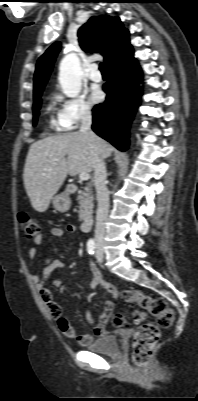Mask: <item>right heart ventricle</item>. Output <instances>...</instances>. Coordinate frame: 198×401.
I'll return each mask as SVG.
<instances>
[{"label":"right heart ventricle","mask_w":198,"mask_h":401,"mask_svg":"<svg viewBox=\"0 0 198 401\" xmlns=\"http://www.w3.org/2000/svg\"><path fill=\"white\" fill-rule=\"evenodd\" d=\"M50 110V108H49ZM51 125L55 128H58L59 130H64L60 124L58 123V121H56L53 117H51Z\"/></svg>","instance_id":"right-heart-ventricle-1"}]
</instances>
